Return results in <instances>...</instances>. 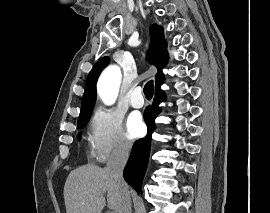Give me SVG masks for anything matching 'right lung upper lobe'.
<instances>
[{"label":"right lung upper lobe","instance_id":"1","mask_svg":"<svg viewBox=\"0 0 270 213\" xmlns=\"http://www.w3.org/2000/svg\"><path fill=\"white\" fill-rule=\"evenodd\" d=\"M151 34V49L148 52L147 58L158 70L155 78L156 85L164 82L162 69L166 65L168 54L166 51V43L164 41V33L161 27L152 25L150 27ZM110 59L103 57L99 59L92 70L90 71L85 85V91L81 104L80 115H85L92 112L96 101V81L101 71L109 64Z\"/></svg>","mask_w":270,"mask_h":213}]
</instances>
